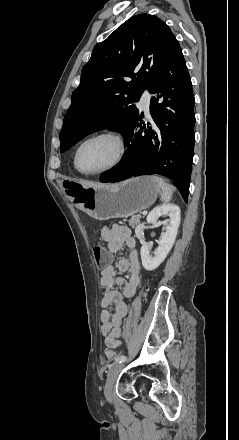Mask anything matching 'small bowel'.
I'll return each mask as SVG.
<instances>
[{"mask_svg": "<svg viewBox=\"0 0 239 440\" xmlns=\"http://www.w3.org/2000/svg\"><path fill=\"white\" fill-rule=\"evenodd\" d=\"M101 235L103 240L107 242L109 253L118 252L123 246L128 249L127 256L121 258L116 266L109 263L101 271L100 284L105 289V294L101 299V332L105 338L106 346L114 349L120 345L121 325L127 314L124 298L133 297L140 284L139 254L136 241L128 227L122 225L105 227ZM117 271L130 272V276L124 279L117 275ZM114 284L121 286L122 292L113 289ZM111 307L114 308V313L110 312Z\"/></svg>", "mask_w": 239, "mask_h": 440, "instance_id": "small-bowel-1", "label": "small bowel"}]
</instances>
